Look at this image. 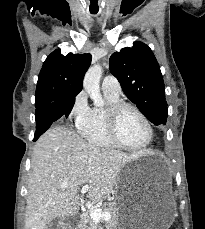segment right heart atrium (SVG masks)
<instances>
[{"label": "right heart atrium", "instance_id": "1", "mask_svg": "<svg viewBox=\"0 0 205 229\" xmlns=\"http://www.w3.org/2000/svg\"><path fill=\"white\" fill-rule=\"evenodd\" d=\"M91 108L88 104V100L85 92H79L73 99L70 111L69 118L78 128L84 124L90 116Z\"/></svg>", "mask_w": 205, "mask_h": 229}]
</instances>
